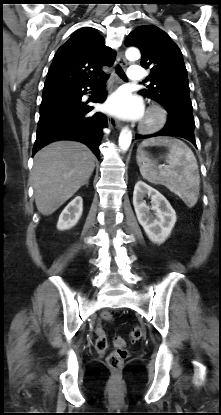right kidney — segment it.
I'll return each mask as SVG.
<instances>
[{
    "label": "right kidney",
    "mask_w": 221,
    "mask_h": 415,
    "mask_svg": "<svg viewBox=\"0 0 221 415\" xmlns=\"http://www.w3.org/2000/svg\"><path fill=\"white\" fill-rule=\"evenodd\" d=\"M83 211V200L80 196L74 198L62 211L59 216L57 228L68 230L74 227L80 219Z\"/></svg>",
    "instance_id": "1"
}]
</instances>
